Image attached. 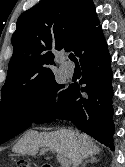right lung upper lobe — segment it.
I'll return each instance as SVG.
<instances>
[{"label":"right lung upper lobe","instance_id":"1","mask_svg":"<svg viewBox=\"0 0 125 167\" xmlns=\"http://www.w3.org/2000/svg\"><path fill=\"white\" fill-rule=\"evenodd\" d=\"M92 0H42L17 20L2 99L21 95L54 77L55 50L83 48L101 32Z\"/></svg>","mask_w":125,"mask_h":167}]
</instances>
